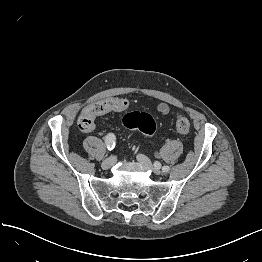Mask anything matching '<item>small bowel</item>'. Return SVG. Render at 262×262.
Returning <instances> with one entry per match:
<instances>
[{
  "label": "small bowel",
  "mask_w": 262,
  "mask_h": 262,
  "mask_svg": "<svg viewBox=\"0 0 262 262\" xmlns=\"http://www.w3.org/2000/svg\"><path fill=\"white\" fill-rule=\"evenodd\" d=\"M157 110H158L161 114L167 115V114L170 112V107H169V105H168L167 103L161 102V103L158 104ZM85 111H89V112L92 114L93 120H94L95 117H97V116H102V115H105V114H107V113L113 112V110L110 109V108H108V107H104V108L102 109V111H95L93 105L85 108L83 112H85ZM83 112H82V113H83ZM82 113H81V114H82ZM93 127H94V126H93ZM93 127H92L91 129H93ZM91 129H90V130H91ZM90 130H88V131H90Z\"/></svg>",
  "instance_id": "small-bowel-1"
}]
</instances>
